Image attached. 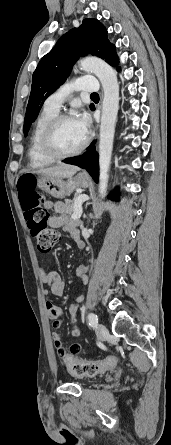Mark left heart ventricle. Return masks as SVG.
Wrapping results in <instances>:
<instances>
[{"label": "left heart ventricle", "instance_id": "left-heart-ventricle-1", "mask_svg": "<svg viewBox=\"0 0 171 445\" xmlns=\"http://www.w3.org/2000/svg\"><path fill=\"white\" fill-rule=\"evenodd\" d=\"M86 138L77 119L62 122L54 133V146L62 151L68 152L78 148Z\"/></svg>", "mask_w": 171, "mask_h": 445}]
</instances>
